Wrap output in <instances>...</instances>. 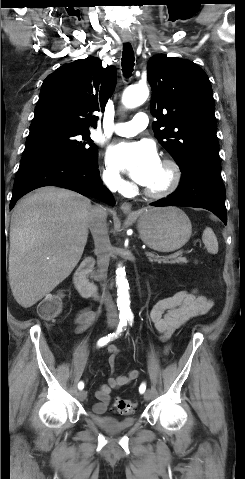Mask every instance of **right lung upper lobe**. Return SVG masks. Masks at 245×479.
Listing matches in <instances>:
<instances>
[{"label": "right lung upper lobe", "mask_w": 245, "mask_h": 479, "mask_svg": "<svg viewBox=\"0 0 245 479\" xmlns=\"http://www.w3.org/2000/svg\"><path fill=\"white\" fill-rule=\"evenodd\" d=\"M88 57L59 67L44 80L31 127L49 124L97 127L95 111L104 112L116 85L115 69Z\"/></svg>", "instance_id": "1"}]
</instances>
